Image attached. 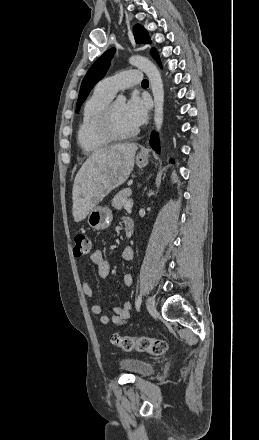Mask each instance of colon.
Instances as JSON below:
<instances>
[{
  "mask_svg": "<svg viewBox=\"0 0 259 440\" xmlns=\"http://www.w3.org/2000/svg\"><path fill=\"white\" fill-rule=\"evenodd\" d=\"M93 251V243L89 236L79 233L75 236L74 254L77 257L91 254ZM111 342L114 346L124 350H137L147 352L149 354L160 356L168 350V344L161 339L151 338L146 336L129 337L120 334H114L111 337Z\"/></svg>",
  "mask_w": 259,
  "mask_h": 440,
  "instance_id": "colon-1",
  "label": "colon"
}]
</instances>
